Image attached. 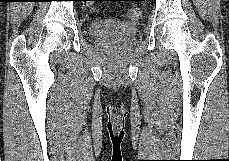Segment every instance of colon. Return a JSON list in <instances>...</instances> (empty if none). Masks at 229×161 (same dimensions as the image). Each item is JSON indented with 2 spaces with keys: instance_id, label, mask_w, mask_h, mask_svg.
Segmentation results:
<instances>
[{
  "instance_id": "1",
  "label": "colon",
  "mask_w": 229,
  "mask_h": 161,
  "mask_svg": "<svg viewBox=\"0 0 229 161\" xmlns=\"http://www.w3.org/2000/svg\"><path fill=\"white\" fill-rule=\"evenodd\" d=\"M91 3H94L95 1H100V0H89ZM96 8L91 5V11L95 12ZM126 17L129 20H138L141 17V10L139 8H130L126 12Z\"/></svg>"
}]
</instances>
